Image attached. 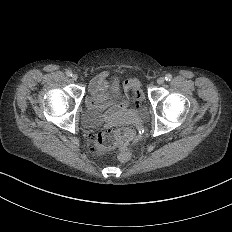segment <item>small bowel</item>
<instances>
[{
	"label": "small bowel",
	"mask_w": 232,
	"mask_h": 232,
	"mask_svg": "<svg viewBox=\"0 0 232 232\" xmlns=\"http://www.w3.org/2000/svg\"><path fill=\"white\" fill-rule=\"evenodd\" d=\"M109 88L108 99L117 105L121 101L119 81L108 70H101L90 81V97L87 100V115L94 118L98 112L99 102L104 98L103 88Z\"/></svg>",
	"instance_id": "small-bowel-1"
}]
</instances>
